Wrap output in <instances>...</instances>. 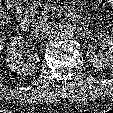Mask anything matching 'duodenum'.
<instances>
[{
	"instance_id": "obj_1",
	"label": "duodenum",
	"mask_w": 113,
	"mask_h": 113,
	"mask_svg": "<svg viewBox=\"0 0 113 113\" xmlns=\"http://www.w3.org/2000/svg\"><path fill=\"white\" fill-rule=\"evenodd\" d=\"M14 1H16V0H14ZM13 4H14V2H13ZM65 16H66V18L74 20L80 24H83L85 22V18L83 16L76 14L74 11L69 10V9L65 11ZM30 23H31L30 18L28 16L24 15L20 19L19 26L22 30H27L30 27Z\"/></svg>"
}]
</instances>
